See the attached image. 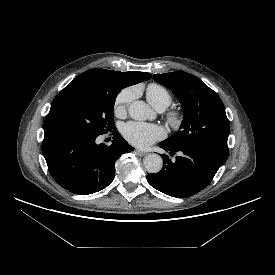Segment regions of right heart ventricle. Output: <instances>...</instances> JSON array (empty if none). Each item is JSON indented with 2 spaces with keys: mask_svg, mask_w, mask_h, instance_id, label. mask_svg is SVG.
Here are the masks:
<instances>
[{
  "mask_svg": "<svg viewBox=\"0 0 275 275\" xmlns=\"http://www.w3.org/2000/svg\"><path fill=\"white\" fill-rule=\"evenodd\" d=\"M146 98L156 109H165L172 102L170 91L158 83H150L146 88Z\"/></svg>",
  "mask_w": 275,
  "mask_h": 275,
  "instance_id": "right-heart-ventricle-1",
  "label": "right heart ventricle"
}]
</instances>
